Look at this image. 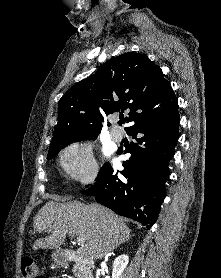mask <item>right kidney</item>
Wrapping results in <instances>:
<instances>
[{
    "label": "right kidney",
    "instance_id": "right-kidney-1",
    "mask_svg": "<svg viewBox=\"0 0 221 278\" xmlns=\"http://www.w3.org/2000/svg\"><path fill=\"white\" fill-rule=\"evenodd\" d=\"M128 263V255L123 254L118 256L113 263L112 278H120Z\"/></svg>",
    "mask_w": 221,
    "mask_h": 278
}]
</instances>
